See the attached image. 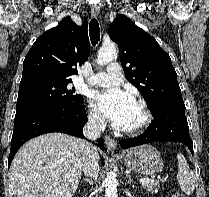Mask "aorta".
I'll use <instances>...</instances> for the list:
<instances>
[{"label": "aorta", "mask_w": 209, "mask_h": 197, "mask_svg": "<svg viewBox=\"0 0 209 197\" xmlns=\"http://www.w3.org/2000/svg\"><path fill=\"white\" fill-rule=\"evenodd\" d=\"M117 57V47L114 43L103 45L97 56V64L105 65ZM105 195L106 197H118L117 194V179L113 172H109L105 178Z\"/></svg>", "instance_id": "1"}]
</instances>
